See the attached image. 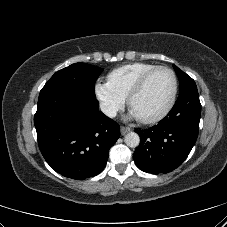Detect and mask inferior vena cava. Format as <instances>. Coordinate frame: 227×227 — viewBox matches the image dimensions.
I'll return each instance as SVG.
<instances>
[{"instance_id":"1","label":"inferior vena cava","mask_w":227,"mask_h":227,"mask_svg":"<svg viewBox=\"0 0 227 227\" xmlns=\"http://www.w3.org/2000/svg\"><path fill=\"white\" fill-rule=\"evenodd\" d=\"M100 109L106 116L110 118H113L116 116L117 110L106 103H100Z\"/></svg>"}]
</instances>
